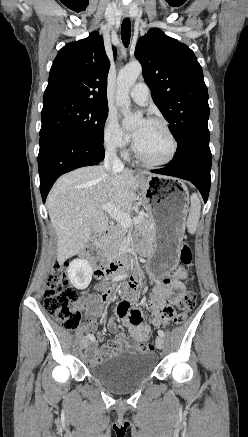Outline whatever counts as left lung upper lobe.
I'll list each match as a JSON object with an SVG mask.
<instances>
[{
    "instance_id": "obj_1",
    "label": "left lung upper lobe",
    "mask_w": 248,
    "mask_h": 437,
    "mask_svg": "<svg viewBox=\"0 0 248 437\" xmlns=\"http://www.w3.org/2000/svg\"><path fill=\"white\" fill-rule=\"evenodd\" d=\"M135 56L180 150L193 135L208 130V91L202 68L188 46L157 28L140 38Z\"/></svg>"
}]
</instances>
